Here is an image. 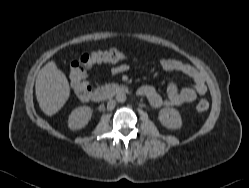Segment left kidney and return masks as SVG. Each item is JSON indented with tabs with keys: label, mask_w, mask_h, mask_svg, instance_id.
<instances>
[{
	"label": "left kidney",
	"mask_w": 249,
	"mask_h": 188,
	"mask_svg": "<svg viewBox=\"0 0 249 188\" xmlns=\"http://www.w3.org/2000/svg\"><path fill=\"white\" fill-rule=\"evenodd\" d=\"M160 123L168 129H179L182 126L181 115L175 108H163L159 111Z\"/></svg>",
	"instance_id": "5707ae66"
}]
</instances>
